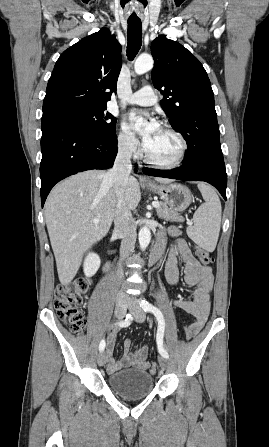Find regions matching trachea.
I'll use <instances>...</instances> for the list:
<instances>
[{"mask_svg": "<svg viewBox=\"0 0 269 447\" xmlns=\"http://www.w3.org/2000/svg\"><path fill=\"white\" fill-rule=\"evenodd\" d=\"M127 56L133 60L142 45V24L138 21H128Z\"/></svg>", "mask_w": 269, "mask_h": 447, "instance_id": "obj_1", "label": "trachea"}]
</instances>
